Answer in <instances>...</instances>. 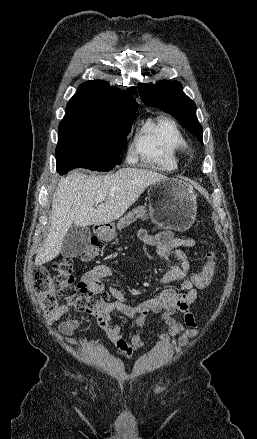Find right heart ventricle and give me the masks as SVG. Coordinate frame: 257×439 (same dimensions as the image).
Segmentation results:
<instances>
[{"mask_svg": "<svg viewBox=\"0 0 257 439\" xmlns=\"http://www.w3.org/2000/svg\"><path fill=\"white\" fill-rule=\"evenodd\" d=\"M186 148L184 135L168 117L147 121L134 139V151L141 161L162 171L177 169L179 157Z\"/></svg>", "mask_w": 257, "mask_h": 439, "instance_id": "right-heart-ventricle-1", "label": "right heart ventricle"}]
</instances>
